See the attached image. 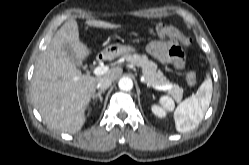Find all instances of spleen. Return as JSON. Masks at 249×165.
Wrapping results in <instances>:
<instances>
[{"label": "spleen", "mask_w": 249, "mask_h": 165, "mask_svg": "<svg viewBox=\"0 0 249 165\" xmlns=\"http://www.w3.org/2000/svg\"><path fill=\"white\" fill-rule=\"evenodd\" d=\"M212 80L210 74L200 85L195 95L185 99L175 109V103L169 96H162L160 104L169 111H174L176 130L180 133L194 129L202 121L212 98Z\"/></svg>", "instance_id": "3e777b00"}]
</instances>
